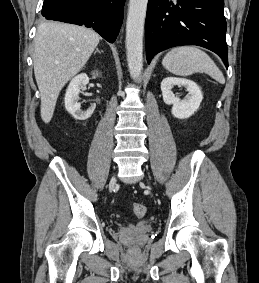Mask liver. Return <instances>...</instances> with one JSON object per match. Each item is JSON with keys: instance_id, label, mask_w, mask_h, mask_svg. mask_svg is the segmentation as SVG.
Returning <instances> with one entry per match:
<instances>
[{"instance_id": "6515ba94", "label": "liver", "mask_w": 259, "mask_h": 283, "mask_svg": "<svg viewBox=\"0 0 259 283\" xmlns=\"http://www.w3.org/2000/svg\"><path fill=\"white\" fill-rule=\"evenodd\" d=\"M100 41L92 29L44 21L34 39L33 65L41 96V118L49 123L64 85L87 63Z\"/></svg>"}]
</instances>
